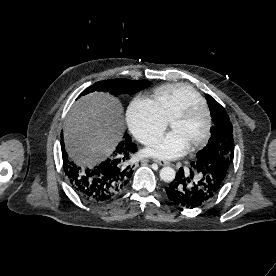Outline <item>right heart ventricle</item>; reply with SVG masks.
Returning a JSON list of instances; mask_svg holds the SVG:
<instances>
[{
    "label": "right heart ventricle",
    "mask_w": 276,
    "mask_h": 276,
    "mask_svg": "<svg viewBox=\"0 0 276 276\" xmlns=\"http://www.w3.org/2000/svg\"><path fill=\"white\" fill-rule=\"evenodd\" d=\"M153 101L167 121L192 103L206 104L203 97L184 83L167 84L156 88Z\"/></svg>",
    "instance_id": "e07e8e85"
}]
</instances>
